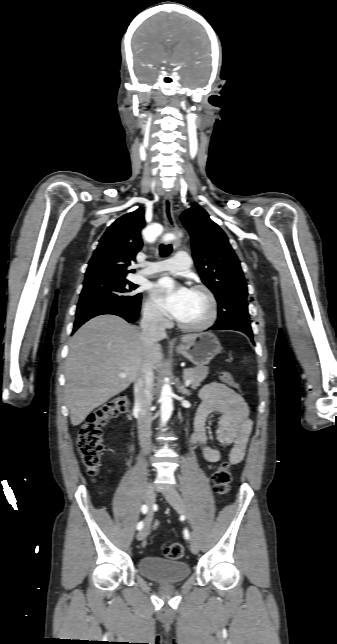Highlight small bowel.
Returning <instances> with one entry per match:
<instances>
[{
    "label": "small bowel",
    "instance_id": "obj_1",
    "mask_svg": "<svg viewBox=\"0 0 337 644\" xmlns=\"http://www.w3.org/2000/svg\"><path fill=\"white\" fill-rule=\"evenodd\" d=\"M202 400L195 416L194 432L191 442L202 447L205 459L210 463H218L222 455L210 444L207 431V419L213 414H219L215 436L222 447L231 446L228 459L231 464L240 463L246 453L253 423L249 417V409L244 399L234 390L220 383L205 385L200 391ZM146 525L158 527L159 523L152 514L146 517Z\"/></svg>",
    "mask_w": 337,
    "mask_h": 644
}]
</instances>
